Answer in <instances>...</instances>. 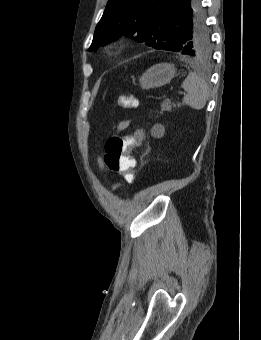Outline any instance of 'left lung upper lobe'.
<instances>
[{
  "label": "left lung upper lobe",
  "instance_id": "obj_1",
  "mask_svg": "<svg viewBox=\"0 0 261 340\" xmlns=\"http://www.w3.org/2000/svg\"><path fill=\"white\" fill-rule=\"evenodd\" d=\"M164 1L109 0L89 51L126 35L155 49L193 58L208 57L211 39L202 6L197 5L192 17L183 14L170 21L159 10Z\"/></svg>",
  "mask_w": 261,
  "mask_h": 340
}]
</instances>
